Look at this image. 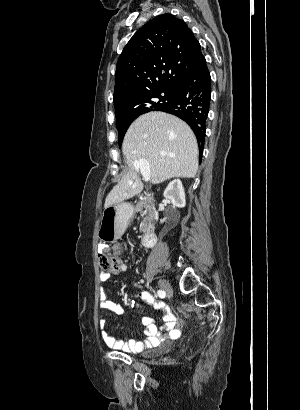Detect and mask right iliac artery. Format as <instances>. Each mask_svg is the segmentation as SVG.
Segmentation results:
<instances>
[{
  "instance_id": "1",
  "label": "right iliac artery",
  "mask_w": 300,
  "mask_h": 410,
  "mask_svg": "<svg viewBox=\"0 0 300 410\" xmlns=\"http://www.w3.org/2000/svg\"><path fill=\"white\" fill-rule=\"evenodd\" d=\"M157 295H158L160 298H164V297H165V292L162 291V290H158V291H157Z\"/></svg>"
}]
</instances>
